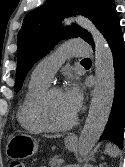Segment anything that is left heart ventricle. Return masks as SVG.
<instances>
[{"label": "left heart ventricle", "instance_id": "b2bd125f", "mask_svg": "<svg viewBox=\"0 0 125 167\" xmlns=\"http://www.w3.org/2000/svg\"><path fill=\"white\" fill-rule=\"evenodd\" d=\"M74 113L66 103L62 91L54 93L47 103V116L51 123L63 125L69 122Z\"/></svg>", "mask_w": 125, "mask_h": 167}]
</instances>
